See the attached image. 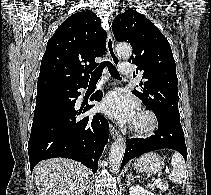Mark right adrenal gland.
Wrapping results in <instances>:
<instances>
[{"label": "right adrenal gland", "mask_w": 211, "mask_h": 195, "mask_svg": "<svg viewBox=\"0 0 211 195\" xmlns=\"http://www.w3.org/2000/svg\"><path fill=\"white\" fill-rule=\"evenodd\" d=\"M89 190V185H88V187L86 188V190L85 191H88Z\"/></svg>", "instance_id": "1"}]
</instances>
